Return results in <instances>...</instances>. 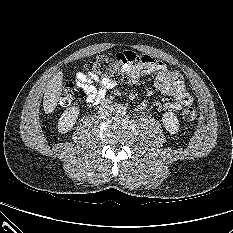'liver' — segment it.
<instances>
[{"instance_id": "6515ba94", "label": "liver", "mask_w": 233, "mask_h": 233, "mask_svg": "<svg viewBox=\"0 0 233 233\" xmlns=\"http://www.w3.org/2000/svg\"><path fill=\"white\" fill-rule=\"evenodd\" d=\"M63 73L58 71L49 81L43 97V108L46 114H50L57 106L62 93Z\"/></svg>"}]
</instances>
